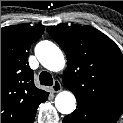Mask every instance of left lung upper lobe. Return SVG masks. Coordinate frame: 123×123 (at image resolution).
Segmentation results:
<instances>
[{
	"mask_svg": "<svg viewBox=\"0 0 123 123\" xmlns=\"http://www.w3.org/2000/svg\"><path fill=\"white\" fill-rule=\"evenodd\" d=\"M68 66L62 80L77 101L120 113L123 109V55L105 34L90 26H49Z\"/></svg>",
	"mask_w": 123,
	"mask_h": 123,
	"instance_id": "left-lung-upper-lobe-1",
	"label": "left lung upper lobe"
}]
</instances>
